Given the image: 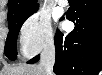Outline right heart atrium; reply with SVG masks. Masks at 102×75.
<instances>
[{
  "instance_id": "d8ad5b80",
  "label": "right heart atrium",
  "mask_w": 102,
  "mask_h": 75,
  "mask_svg": "<svg viewBox=\"0 0 102 75\" xmlns=\"http://www.w3.org/2000/svg\"><path fill=\"white\" fill-rule=\"evenodd\" d=\"M19 42L26 57H32L41 50L52 47L54 36L50 20L41 13L31 14L20 26Z\"/></svg>"
}]
</instances>
